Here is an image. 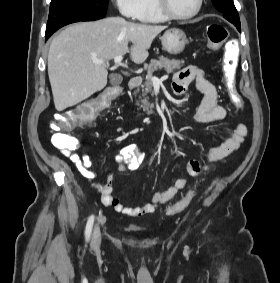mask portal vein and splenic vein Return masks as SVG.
Returning <instances> with one entry per match:
<instances>
[{
  "label": "portal vein and splenic vein",
  "mask_w": 280,
  "mask_h": 283,
  "mask_svg": "<svg viewBox=\"0 0 280 283\" xmlns=\"http://www.w3.org/2000/svg\"><path fill=\"white\" fill-rule=\"evenodd\" d=\"M122 60H123V55H118V56L114 57V63L115 64L121 65V66H126L125 64L122 63ZM94 63L95 64H108V62H106L104 60H94ZM152 82L153 83H160L161 80L158 77L153 76Z\"/></svg>",
  "instance_id": "18ae733b"
}]
</instances>
